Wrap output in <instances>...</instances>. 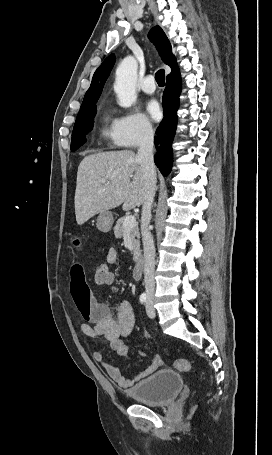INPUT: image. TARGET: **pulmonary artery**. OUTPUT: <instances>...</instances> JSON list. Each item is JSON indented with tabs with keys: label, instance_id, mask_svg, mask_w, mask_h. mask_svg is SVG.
Returning <instances> with one entry per match:
<instances>
[{
	"label": "pulmonary artery",
	"instance_id": "e3ab8cb5",
	"mask_svg": "<svg viewBox=\"0 0 272 455\" xmlns=\"http://www.w3.org/2000/svg\"><path fill=\"white\" fill-rule=\"evenodd\" d=\"M141 89L148 94L154 93L156 90L154 77L151 75L146 76L141 82Z\"/></svg>",
	"mask_w": 272,
	"mask_h": 455
}]
</instances>
